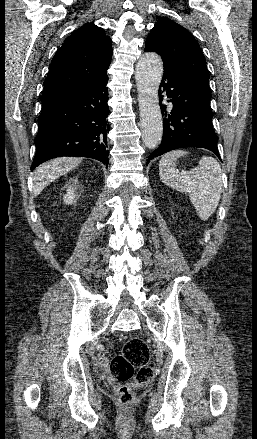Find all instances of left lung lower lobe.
I'll list each match as a JSON object with an SVG mask.
<instances>
[{"mask_svg": "<svg viewBox=\"0 0 257 439\" xmlns=\"http://www.w3.org/2000/svg\"><path fill=\"white\" fill-rule=\"evenodd\" d=\"M170 98L173 108L166 111L161 106L163 123V137L161 144L147 159L150 160L171 150L179 148H205L217 155L221 160L215 134L212 125L213 113L210 108V99L189 82L169 71H164L159 88L160 101L162 93Z\"/></svg>", "mask_w": 257, "mask_h": 439, "instance_id": "1", "label": "left lung lower lobe"}]
</instances>
